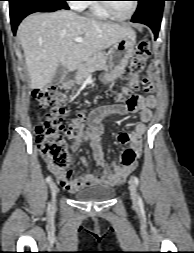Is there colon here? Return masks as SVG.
Returning <instances> with one entry per match:
<instances>
[{
	"mask_svg": "<svg viewBox=\"0 0 194 253\" xmlns=\"http://www.w3.org/2000/svg\"><path fill=\"white\" fill-rule=\"evenodd\" d=\"M150 55V42L148 40L141 41L137 45L135 56L131 61V74L121 95L122 99L138 89V74L144 68L145 61ZM32 95L41 108L48 110L43 120L36 126V141L40 154L48 165L63 171L69 164L67 141L75 140L81 135L84 114L79 113L71 125L65 126L60 117L63 113V109L59 106L61 96L56 87L47 86L37 89ZM135 160L136 154L133 150L128 149L123 153V165H131Z\"/></svg>",
	"mask_w": 194,
	"mask_h": 253,
	"instance_id": "obj_1",
	"label": "colon"
}]
</instances>
